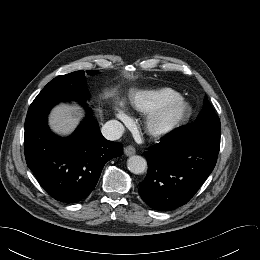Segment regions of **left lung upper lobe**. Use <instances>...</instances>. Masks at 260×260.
<instances>
[{"mask_svg":"<svg viewBox=\"0 0 260 260\" xmlns=\"http://www.w3.org/2000/svg\"><path fill=\"white\" fill-rule=\"evenodd\" d=\"M184 132L190 135L209 136L220 139L221 126L219 117L215 114L207 97L204 100V107L195 122L178 127L171 134Z\"/></svg>","mask_w":260,"mask_h":260,"instance_id":"1","label":"left lung upper lobe"}]
</instances>
